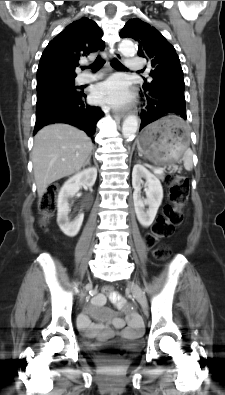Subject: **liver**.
Here are the masks:
<instances>
[{
    "label": "liver",
    "instance_id": "1",
    "mask_svg": "<svg viewBox=\"0 0 225 395\" xmlns=\"http://www.w3.org/2000/svg\"><path fill=\"white\" fill-rule=\"evenodd\" d=\"M92 149L90 137L69 124H51L39 130L32 150L38 196L42 197L51 183L84 167Z\"/></svg>",
    "mask_w": 225,
    "mask_h": 395
}]
</instances>
